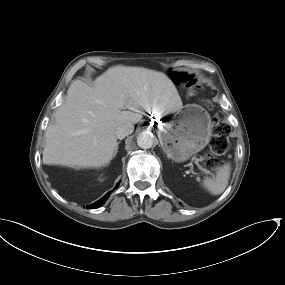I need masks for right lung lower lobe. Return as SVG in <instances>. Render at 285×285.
<instances>
[{"label":"right lung lower lobe","instance_id":"1","mask_svg":"<svg viewBox=\"0 0 285 285\" xmlns=\"http://www.w3.org/2000/svg\"><path fill=\"white\" fill-rule=\"evenodd\" d=\"M109 197V195H105L103 196L100 200H98L97 202L91 204L88 206V208L91 209H95V208H99L100 206H102V204H104V202L106 201V199Z\"/></svg>","mask_w":285,"mask_h":285}]
</instances>
